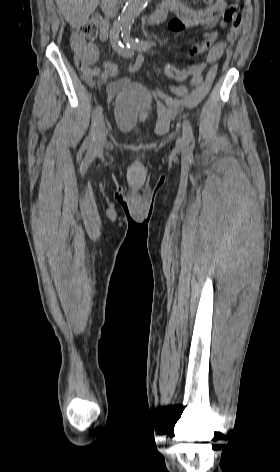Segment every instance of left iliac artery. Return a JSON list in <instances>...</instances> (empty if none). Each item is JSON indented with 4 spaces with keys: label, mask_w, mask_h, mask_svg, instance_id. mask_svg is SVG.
I'll return each mask as SVG.
<instances>
[{
    "label": "left iliac artery",
    "mask_w": 280,
    "mask_h": 472,
    "mask_svg": "<svg viewBox=\"0 0 280 472\" xmlns=\"http://www.w3.org/2000/svg\"><path fill=\"white\" fill-rule=\"evenodd\" d=\"M130 29H131L130 25L124 26L121 29L122 30L121 35H122L123 41L127 44L128 47L139 50V51L141 50L145 51L151 47V42L149 41L132 38L130 36ZM183 138L185 141L193 140L192 127L188 120L183 121Z\"/></svg>",
    "instance_id": "left-iliac-artery-1"
}]
</instances>
